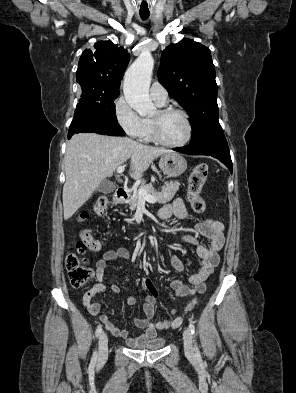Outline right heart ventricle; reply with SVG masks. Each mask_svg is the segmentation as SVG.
Here are the masks:
<instances>
[{
    "label": "right heart ventricle",
    "mask_w": 296,
    "mask_h": 393,
    "mask_svg": "<svg viewBox=\"0 0 296 393\" xmlns=\"http://www.w3.org/2000/svg\"><path fill=\"white\" fill-rule=\"evenodd\" d=\"M143 120H144V124H145V131H144V135L141 139L145 142H152V141H154V139H153V134H152L151 120L150 119H143Z\"/></svg>",
    "instance_id": "1"
}]
</instances>
